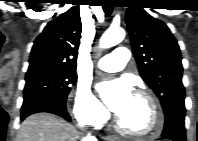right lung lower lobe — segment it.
<instances>
[{"mask_svg":"<svg viewBox=\"0 0 198 141\" xmlns=\"http://www.w3.org/2000/svg\"><path fill=\"white\" fill-rule=\"evenodd\" d=\"M38 112L56 114L65 118L67 121H71L65 105L43 98L25 99L21 108V120H24L27 116Z\"/></svg>","mask_w":198,"mask_h":141,"instance_id":"1","label":"right lung lower lobe"}]
</instances>
